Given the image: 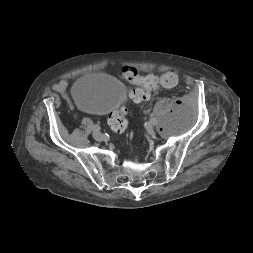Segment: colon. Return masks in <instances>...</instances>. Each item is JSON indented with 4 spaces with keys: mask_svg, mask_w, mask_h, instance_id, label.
Returning <instances> with one entry per match:
<instances>
[{
    "mask_svg": "<svg viewBox=\"0 0 253 253\" xmlns=\"http://www.w3.org/2000/svg\"><path fill=\"white\" fill-rule=\"evenodd\" d=\"M123 78L129 83L140 86L130 90V98L135 102H143L150 98V91L158 87L172 88L178 83V76L174 72H166L160 76H142L134 68L127 67L122 71ZM127 109L120 107L109 115V125L116 133H122L127 127Z\"/></svg>",
    "mask_w": 253,
    "mask_h": 253,
    "instance_id": "1",
    "label": "colon"
}]
</instances>
